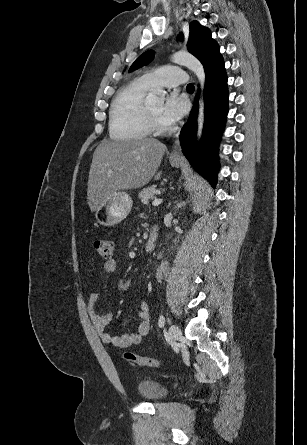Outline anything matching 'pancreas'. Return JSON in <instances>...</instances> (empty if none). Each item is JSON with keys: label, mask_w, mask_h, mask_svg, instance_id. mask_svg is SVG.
<instances>
[{"label": "pancreas", "mask_w": 307, "mask_h": 445, "mask_svg": "<svg viewBox=\"0 0 307 445\" xmlns=\"http://www.w3.org/2000/svg\"><path fill=\"white\" fill-rule=\"evenodd\" d=\"M155 190L156 186H147V188H142L141 192H139L138 196L141 198V202H149V200H153L155 198Z\"/></svg>", "instance_id": "1"}]
</instances>
